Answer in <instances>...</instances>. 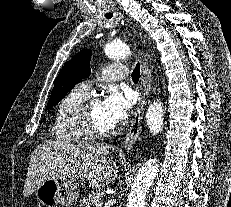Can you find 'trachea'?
I'll return each mask as SVG.
<instances>
[{
	"instance_id": "3493384b",
	"label": "trachea",
	"mask_w": 231,
	"mask_h": 207,
	"mask_svg": "<svg viewBox=\"0 0 231 207\" xmlns=\"http://www.w3.org/2000/svg\"><path fill=\"white\" fill-rule=\"evenodd\" d=\"M107 19H110L112 18L113 14H107L105 15ZM139 78H140V64L137 63L133 72H132V80L134 82H138L139 81Z\"/></svg>"
}]
</instances>
